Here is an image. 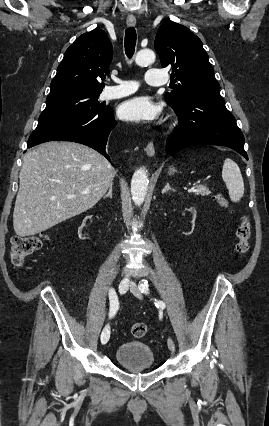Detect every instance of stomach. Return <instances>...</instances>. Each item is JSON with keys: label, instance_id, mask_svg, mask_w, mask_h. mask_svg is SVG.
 Here are the masks:
<instances>
[{"label": "stomach", "instance_id": "stomach-1", "mask_svg": "<svg viewBox=\"0 0 269 426\" xmlns=\"http://www.w3.org/2000/svg\"><path fill=\"white\" fill-rule=\"evenodd\" d=\"M175 171H176V170H175V168H174V167H170V169H169V174H173Z\"/></svg>", "mask_w": 269, "mask_h": 426}]
</instances>
